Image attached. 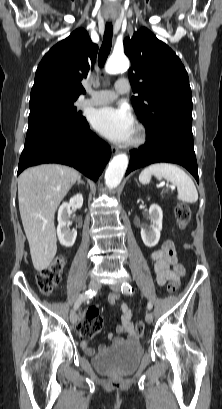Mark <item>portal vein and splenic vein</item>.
Returning <instances> with one entry per match:
<instances>
[{
    "mask_svg": "<svg viewBox=\"0 0 222 409\" xmlns=\"http://www.w3.org/2000/svg\"><path fill=\"white\" fill-rule=\"evenodd\" d=\"M164 185H165V183L162 182V183L158 184L157 186H158V187H162V186H164ZM171 189H175V187H174V186H171Z\"/></svg>",
    "mask_w": 222,
    "mask_h": 409,
    "instance_id": "1",
    "label": "portal vein and splenic vein"
}]
</instances>
